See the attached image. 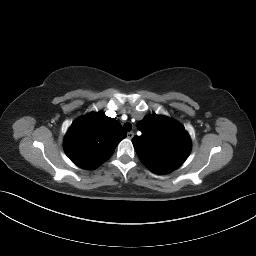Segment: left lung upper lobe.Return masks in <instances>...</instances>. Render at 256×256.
Instances as JSON below:
<instances>
[{
    "label": "left lung upper lobe",
    "mask_w": 256,
    "mask_h": 256,
    "mask_svg": "<svg viewBox=\"0 0 256 256\" xmlns=\"http://www.w3.org/2000/svg\"><path fill=\"white\" fill-rule=\"evenodd\" d=\"M141 136L132 139L142 163L155 174H167L189 156L191 140L185 128L165 116L148 115L137 124Z\"/></svg>",
    "instance_id": "5c2ea615"
}]
</instances>
